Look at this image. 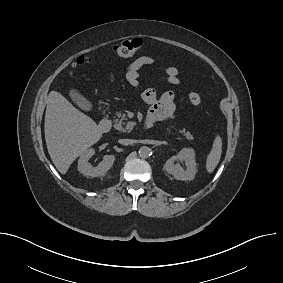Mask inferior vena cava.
<instances>
[{"label":"inferior vena cava","instance_id":"602c4592","mask_svg":"<svg viewBox=\"0 0 283 283\" xmlns=\"http://www.w3.org/2000/svg\"><path fill=\"white\" fill-rule=\"evenodd\" d=\"M133 140L131 139H120L119 140V143L122 144V145H130V144H133Z\"/></svg>","mask_w":283,"mask_h":283}]
</instances>
